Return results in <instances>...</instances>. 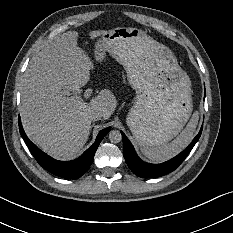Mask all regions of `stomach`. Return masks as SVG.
I'll use <instances>...</instances> for the list:
<instances>
[{
    "mask_svg": "<svg viewBox=\"0 0 233 233\" xmlns=\"http://www.w3.org/2000/svg\"><path fill=\"white\" fill-rule=\"evenodd\" d=\"M103 64L111 55L126 71L136 100L127 125L141 148H156L177 136L190 118L191 81L173 52L138 28L103 31L92 49Z\"/></svg>",
    "mask_w": 233,
    "mask_h": 233,
    "instance_id": "obj_1",
    "label": "stomach"
}]
</instances>
